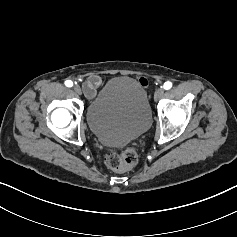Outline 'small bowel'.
Segmentation results:
<instances>
[{
  "mask_svg": "<svg viewBox=\"0 0 237 237\" xmlns=\"http://www.w3.org/2000/svg\"><path fill=\"white\" fill-rule=\"evenodd\" d=\"M139 82L143 86L148 85V80L146 78H140ZM102 85V79L98 75H91L87 78L84 83V92L88 98H93L97 92V89Z\"/></svg>",
  "mask_w": 237,
  "mask_h": 237,
  "instance_id": "obj_1",
  "label": "small bowel"
}]
</instances>
